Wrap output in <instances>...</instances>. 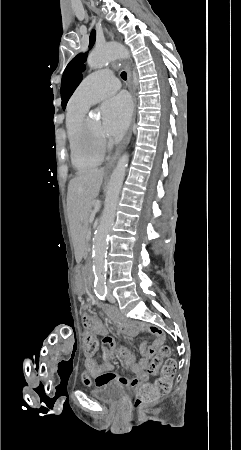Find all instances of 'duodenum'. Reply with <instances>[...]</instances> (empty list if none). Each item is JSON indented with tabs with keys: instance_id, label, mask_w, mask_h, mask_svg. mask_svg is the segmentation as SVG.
<instances>
[{
	"instance_id": "duodenum-1",
	"label": "duodenum",
	"mask_w": 241,
	"mask_h": 450,
	"mask_svg": "<svg viewBox=\"0 0 241 450\" xmlns=\"http://www.w3.org/2000/svg\"><path fill=\"white\" fill-rule=\"evenodd\" d=\"M87 285L90 290H94L93 264L91 261L87 264Z\"/></svg>"
}]
</instances>
